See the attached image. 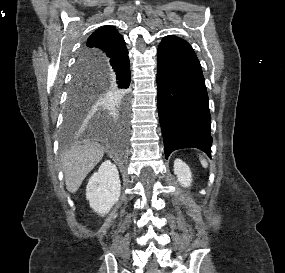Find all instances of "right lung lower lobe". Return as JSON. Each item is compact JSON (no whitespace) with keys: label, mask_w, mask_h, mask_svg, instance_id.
<instances>
[{"label":"right lung lower lobe","mask_w":285,"mask_h":273,"mask_svg":"<svg viewBox=\"0 0 285 273\" xmlns=\"http://www.w3.org/2000/svg\"><path fill=\"white\" fill-rule=\"evenodd\" d=\"M91 72L103 77L105 83H109L117 90L125 91L131 82L130 62L128 53L122 57L104 60L99 59L89 65ZM121 126L125 128V115L121 117Z\"/></svg>","instance_id":"1"}]
</instances>
